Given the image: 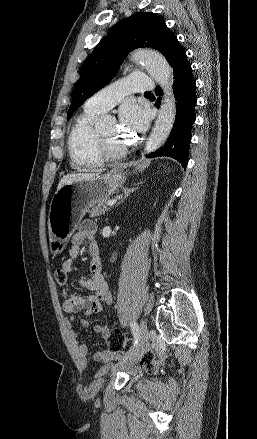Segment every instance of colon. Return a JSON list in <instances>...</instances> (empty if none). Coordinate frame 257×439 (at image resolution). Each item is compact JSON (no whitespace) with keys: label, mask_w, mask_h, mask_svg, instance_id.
Here are the masks:
<instances>
[{"label":"colon","mask_w":257,"mask_h":439,"mask_svg":"<svg viewBox=\"0 0 257 439\" xmlns=\"http://www.w3.org/2000/svg\"><path fill=\"white\" fill-rule=\"evenodd\" d=\"M55 280L59 285H65L68 280V273L62 268L57 269L55 272ZM106 342L108 350L115 353H125L131 347V342L118 329L109 331L106 337ZM141 363L152 372L155 363V356L152 353H148L143 357Z\"/></svg>","instance_id":"colon-1"}]
</instances>
